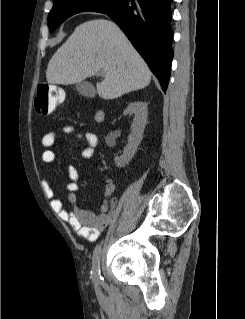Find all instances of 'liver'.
I'll return each instance as SVG.
<instances>
[{"label": "liver", "mask_w": 245, "mask_h": 319, "mask_svg": "<svg viewBox=\"0 0 245 319\" xmlns=\"http://www.w3.org/2000/svg\"><path fill=\"white\" fill-rule=\"evenodd\" d=\"M104 71L96 84L103 99H116L143 89L151 72L121 29L112 21L94 19L77 26L50 59L46 79L50 84L70 85Z\"/></svg>", "instance_id": "6515ba94"}]
</instances>
